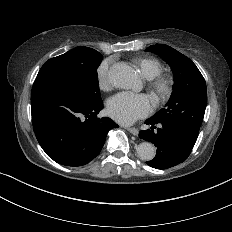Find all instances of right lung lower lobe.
<instances>
[{"label": "right lung lower lobe", "mask_w": 232, "mask_h": 232, "mask_svg": "<svg viewBox=\"0 0 232 232\" xmlns=\"http://www.w3.org/2000/svg\"><path fill=\"white\" fill-rule=\"evenodd\" d=\"M32 124L45 153L66 166H82L101 151L106 135L119 127L97 117L102 100H84L58 69L41 68L31 92Z\"/></svg>", "instance_id": "98d812e1"}]
</instances>
